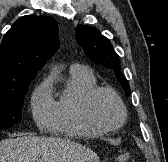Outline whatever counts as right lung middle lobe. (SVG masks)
<instances>
[{
	"label": "right lung middle lobe",
	"mask_w": 168,
	"mask_h": 162,
	"mask_svg": "<svg viewBox=\"0 0 168 162\" xmlns=\"http://www.w3.org/2000/svg\"><path fill=\"white\" fill-rule=\"evenodd\" d=\"M32 80L0 86V129L11 127L21 120L24 96Z\"/></svg>",
	"instance_id": "1"
}]
</instances>
